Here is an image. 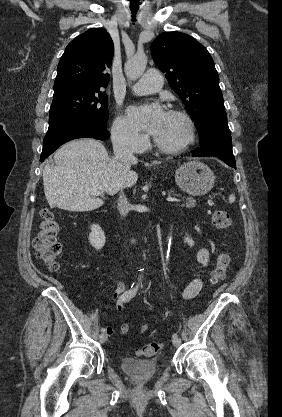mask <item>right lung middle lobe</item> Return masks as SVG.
Wrapping results in <instances>:
<instances>
[{
    "label": "right lung middle lobe",
    "instance_id": "obj_1",
    "mask_svg": "<svg viewBox=\"0 0 282 417\" xmlns=\"http://www.w3.org/2000/svg\"><path fill=\"white\" fill-rule=\"evenodd\" d=\"M106 92L99 88H76L54 92L49 124L74 116H83L106 127L108 120Z\"/></svg>",
    "mask_w": 282,
    "mask_h": 417
}]
</instances>
